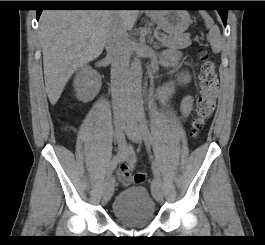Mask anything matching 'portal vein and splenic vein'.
<instances>
[{"label": "portal vein and splenic vein", "mask_w": 265, "mask_h": 245, "mask_svg": "<svg viewBox=\"0 0 265 245\" xmlns=\"http://www.w3.org/2000/svg\"><path fill=\"white\" fill-rule=\"evenodd\" d=\"M162 43H165L166 42V39L164 37L160 38L159 39Z\"/></svg>", "instance_id": "portal-vein-and-splenic-vein-1"}]
</instances>
